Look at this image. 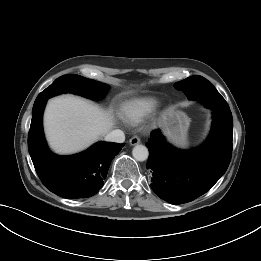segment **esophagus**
<instances>
[{
	"label": "esophagus",
	"mask_w": 261,
	"mask_h": 261,
	"mask_svg": "<svg viewBox=\"0 0 261 261\" xmlns=\"http://www.w3.org/2000/svg\"><path fill=\"white\" fill-rule=\"evenodd\" d=\"M129 143H130V145L135 146V145H137V144L140 143V138L137 137V136H133V137L129 140Z\"/></svg>",
	"instance_id": "34e87169"
}]
</instances>
